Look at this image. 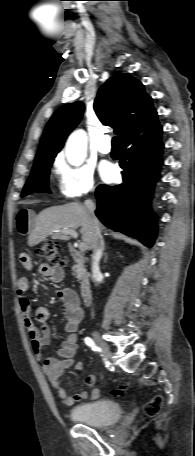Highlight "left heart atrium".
<instances>
[{
	"instance_id": "1",
	"label": "left heart atrium",
	"mask_w": 195,
	"mask_h": 456,
	"mask_svg": "<svg viewBox=\"0 0 195 456\" xmlns=\"http://www.w3.org/2000/svg\"><path fill=\"white\" fill-rule=\"evenodd\" d=\"M100 175L104 181L110 182L116 176V168L110 163H104L100 167Z\"/></svg>"
}]
</instances>
